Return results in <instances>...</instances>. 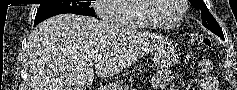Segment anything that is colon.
<instances>
[{
    "label": "colon",
    "mask_w": 237,
    "mask_h": 90,
    "mask_svg": "<svg viewBox=\"0 0 237 90\" xmlns=\"http://www.w3.org/2000/svg\"><path fill=\"white\" fill-rule=\"evenodd\" d=\"M195 43L204 46H211V39L203 34H197L194 38Z\"/></svg>",
    "instance_id": "obj_1"
}]
</instances>
